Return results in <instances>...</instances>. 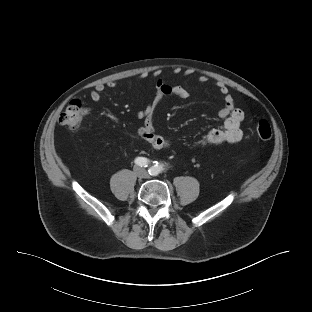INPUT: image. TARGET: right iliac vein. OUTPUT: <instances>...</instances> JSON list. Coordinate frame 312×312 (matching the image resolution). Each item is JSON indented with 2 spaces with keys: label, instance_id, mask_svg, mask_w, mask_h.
<instances>
[{
  "label": "right iliac vein",
  "instance_id": "63e3f726",
  "mask_svg": "<svg viewBox=\"0 0 312 312\" xmlns=\"http://www.w3.org/2000/svg\"><path fill=\"white\" fill-rule=\"evenodd\" d=\"M136 172H137V174H139L142 172V170L140 168H136Z\"/></svg>",
  "mask_w": 312,
  "mask_h": 312
}]
</instances>
